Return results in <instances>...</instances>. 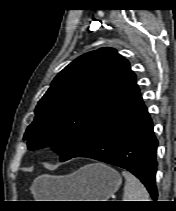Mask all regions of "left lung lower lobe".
<instances>
[{"label":"left lung lower lobe","mask_w":176,"mask_h":211,"mask_svg":"<svg viewBox=\"0 0 176 211\" xmlns=\"http://www.w3.org/2000/svg\"><path fill=\"white\" fill-rule=\"evenodd\" d=\"M158 141L141 95L108 118L73 157H87L133 173L157 198L155 174Z\"/></svg>","instance_id":"0a47b994"}]
</instances>
